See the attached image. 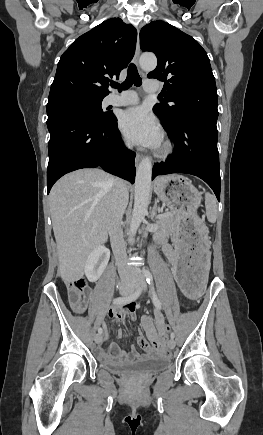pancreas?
I'll use <instances>...</instances> for the list:
<instances>
[{
    "label": "pancreas",
    "mask_w": 263,
    "mask_h": 435,
    "mask_svg": "<svg viewBox=\"0 0 263 435\" xmlns=\"http://www.w3.org/2000/svg\"><path fill=\"white\" fill-rule=\"evenodd\" d=\"M177 213L178 210H172L171 212L167 213L166 216L160 218L157 221V224L159 225L160 229L158 232L155 233L154 235L155 239L162 240L170 234L175 222L178 220V216L176 215Z\"/></svg>",
    "instance_id": "1"
}]
</instances>
